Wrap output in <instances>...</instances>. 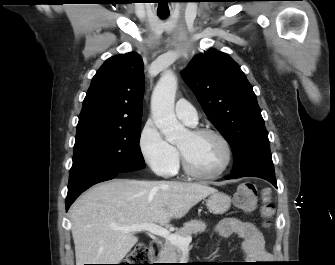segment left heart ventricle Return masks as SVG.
I'll return each mask as SVG.
<instances>
[{"instance_id": "1", "label": "left heart ventricle", "mask_w": 335, "mask_h": 265, "mask_svg": "<svg viewBox=\"0 0 335 265\" xmlns=\"http://www.w3.org/2000/svg\"><path fill=\"white\" fill-rule=\"evenodd\" d=\"M178 147L185 154L189 164L201 173H213L224 162L225 150L222 143L214 136L194 137L187 133Z\"/></svg>"}]
</instances>
